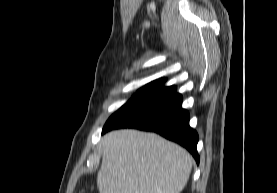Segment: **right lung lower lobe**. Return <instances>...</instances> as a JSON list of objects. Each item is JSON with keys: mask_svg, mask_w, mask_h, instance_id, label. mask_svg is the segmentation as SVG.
<instances>
[{"mask_svg": "<svg viewBox=\"0 0 277 193\" xmlns=\"http://www.w3.org/2000/svg\"><path fill=\"white\" fill-rule=\"evenodd\" d=\"M181 104L182 96L176 87H164L114 115L104 125L102 134L118 128L153 131L185 147L199 163L198 134L189 126V113Z\"/></svg>", "mask_w": 277, "mask_h": 193, "instance_id": "obj_1", "label": "right lung lower lobe"}]
</instances>
